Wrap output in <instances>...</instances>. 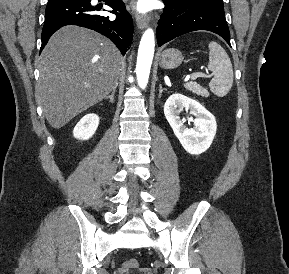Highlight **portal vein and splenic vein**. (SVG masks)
Segmentation results:
<instances>
[{
  "mask_svg": "<svg viewBox=\"0 0 289 274\" xmlns=\"http://www.w3.org/2000/svg\"><path fill=\"white\" fill-rule=\"evenodd\" d=\"M199 77L208 78V77H211V75H207V74H205V73H194V74H192V75L190 76V79L194 81V80H196V79L199 78Z\"/></svg>",
  "mask_w": 289,
  "mask_h": 274,
  "instance_id": "obj_1",
  "label": "portal vein and splenic vein"
}]
</instances>
